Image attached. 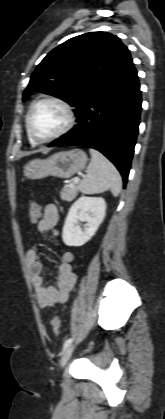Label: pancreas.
<instances>
[{
    "mask_svg": "<svg viewBox=\"0 0 165 419\" xmlns=\"http://www.w3.org/2000/svg\"><path fill=\"white\" fill-rule=\"evenodd\" d=\"M78 191L79 186L77 183L67 184L63 187L60 193L61 199L64 201L71 202L76 198Z\"/></svg>",
    "mask_w": 165,
    "mask_h": 419,
    "instance_id": "obj_1",
    "label": "pancreas"
}]
</instances>
